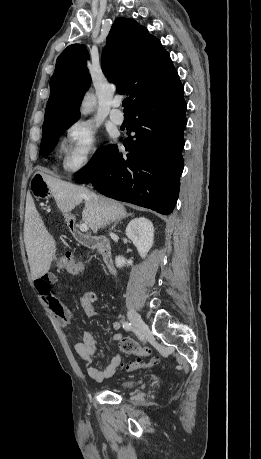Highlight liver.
I'll return each mask as SVG.
<instances>
[{
	"mask_svg": "<svg viewBox=\"0 0 261 459\" xmlns=\"http://www.w3.org/2000/svg\"><path fill=\"white\" fill-rule=\"evenodd\" d=\"M37 173L43 176L57 207L63 213L70 212L84 201L82 220L95 234L111 222L126 216L124 205L113 199L96 195L83 186L53 177L43 169ZM24 241L32 279H38L50 269L55 258L56 242L44 227L32 201L29 204Z\"/></svg>",
	"mask_w": 261,
	"mask_h": 459,
	"instance_id": "1",
	"label": "liver"
}]
</instances>
